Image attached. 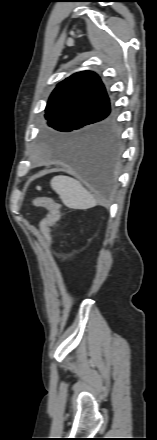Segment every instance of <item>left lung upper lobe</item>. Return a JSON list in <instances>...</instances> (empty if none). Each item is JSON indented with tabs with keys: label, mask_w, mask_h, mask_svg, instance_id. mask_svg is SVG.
<instances>
[{
	"label": "left lung upper lobe",
	"mask_w": 157,
	"mask_h": 440,
	"mask_svg": "<svg viewBox=\"0 0 157 440\" xmlns=\"http://www.w3.org/2000/svg\"><path fill=\"white\" fill-rule=\"evenodd\" d=\"M105 87L91 71L73 74L60 82L46 106L49 126L73 140L88 137L107 127L113 118Z\"/></svg>",
	"instance_id": "5c2ea615"
}]
</instances>
